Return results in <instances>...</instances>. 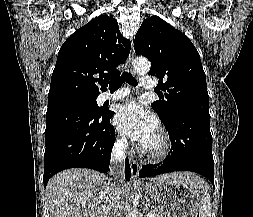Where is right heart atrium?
I'll return each instance as SVG.
<instances>
[{
    "label": "right heart atrium",
    "mask_w": 253,
    "mask_h": 217,
    "mask_svg": "<svg viewBox=\"0 0 253 217\" xmlns=\"http://www.w3.org/2000/svg\"><path fill=\"white\" fill-rule=\"evenodd\" d=\"M116 143H117L118 148H120V149H124L125 146H126V141L121 136L117 138V142Z\"/></svg>",
    "instance_id": "right-heart-atrium-1"
}]
</instances>
